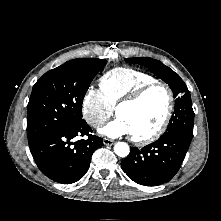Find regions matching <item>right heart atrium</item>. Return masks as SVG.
<instances>
[{"instance_id": "right-heart-atrium-1", "label": "right heart atrium", "mask_w": 221, "mask_h": 221, "mask_svg": "<svg viewBox=\"0 0 221 221\" xmlns=\"http://www.w3.org/2000/svg\"><path fill=\"white\" fill-rule=\"evenodd\" d=\"M113 113V107L100 89L89 87L82 99V116L93 128H99Z\"/></svg>"}]
</instances>
